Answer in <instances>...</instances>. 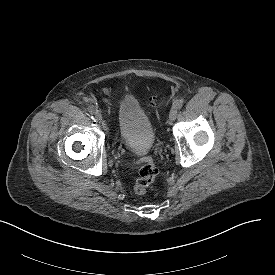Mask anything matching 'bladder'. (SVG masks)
Returning a JSON list of instances; mask_svg holds the SVG:
<instances>
[{
	"mask_svg": "<svg viewBox=\"0 0 275 275\" xmlns=\"http://www.w3.org/2000/svg\"><path fill=\"white\" fill-rule=\"evenodd\" d=\"M116 113L118 133L125 147L135 155L145 154L154 141V130L137 98L133 94H125Z\"/></svg>",
	"mask_w": 275,
	"mask_h": 275,
	"instance_id": "1",
	"label": "bladder"
}]
</instances>
